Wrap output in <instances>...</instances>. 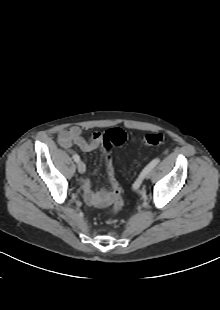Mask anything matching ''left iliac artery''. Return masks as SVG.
Wrapping results in <instances>:
<instances>
[{
  "mask_svg": "<svg viewBox=\"0 0 220 310\" xmlns=\"http://www.w3.org/2000/svg\"><path fill=\"white\" fill-rule=\"evenodd\" d=\"M159 158H155L153 159L143 170L142 172L140 173L139 177L136 179V181L134 182L133 184V189L134 190H137L141 184H142V181L144 179V176L147 172H149L150 170H152L158 163H159Z\"/></svg>",
  "mask_w": 220,
  "mask_h": 310,
  "instance_id": "1",
  "label": "left iliac artery"
}]
</instances>
